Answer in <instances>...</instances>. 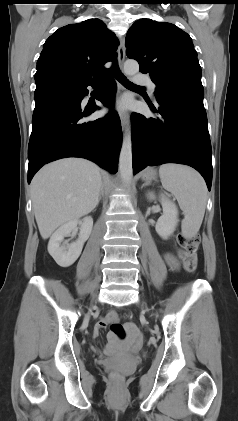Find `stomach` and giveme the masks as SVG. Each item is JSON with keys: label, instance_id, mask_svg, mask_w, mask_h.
<instances>
[{"label": "stomach", "instance_id": "0dacf381", "mask_svg": "<svg viewBox=\"0 0 238 421\" xmlns=\"http://www.w3.org/2000/svg\"><path fill=\"white\" fill-rule=\"evenodd\" d=\"M157 177V172L156 170L150 168L147 169L143 174H142V178L146 181H151V180H155Z\"/></svg>", "mask_w": 238, "mask_h": 421}]
</instances>
